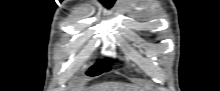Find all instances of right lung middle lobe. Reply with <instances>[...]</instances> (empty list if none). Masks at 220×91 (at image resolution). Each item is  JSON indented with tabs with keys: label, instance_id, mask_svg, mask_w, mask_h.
I'll return each mask as SVG.
<instances>
[{
	"label": "right lung middle lobe",
	"instance_id": "obj_1",
	"mask_svg": "<svg viewBox=\"0 0 220 91\" xmlns=\"http://www.w3.org/2000/svg\"><path fill=\"white\" fill-rule=\"evenodd\" d=\"M110 63L107 61H102L95 64L93 67L90 68V71L87 72L89 76H97L102 72H106L109 70Z\"/></svg>",
	"mask_w": 220,
	"mask_h": 91
}]
</instances>
